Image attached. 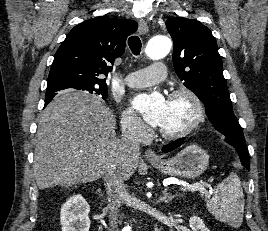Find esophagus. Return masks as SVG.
Listing matches in <instances>:
<instances>
[{
    "mask_svg": "<svg viewBox=\"0 0 268 231\" xmlns=\"http://www.w3.org/2000/svg\"><path fill=\"white\" fill-rule=\"evenodd\" d=\"M149 28L147 25V22L144 19H140L139 21V31L142 34H146L148 32ZM145 157L146 159L150 161H159L160 157L156 154V152L152 148H148L145 151Z\"/></svg>",
    "mask_w": 268,
    "mask_h": 231,
    "instance_id": "esophagus-1",
    "label": "esophagus"
}]
</instances>
